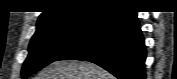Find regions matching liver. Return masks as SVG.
<instances>
[{"mask_svg": "<svg viewBox=\"0 0 177 79\" xmlns=\"http://www.w3.org/2000/svg\"><path fill=\"white\" fill-rule=\"evenodd\" d=\"M36 79H113V76L88 61L61 60L42 69Z\"/></svg>", "mask_w": 177, "mask_h": 79, "instance_id": "obj_1", "label": "liver"}]
</instances>
